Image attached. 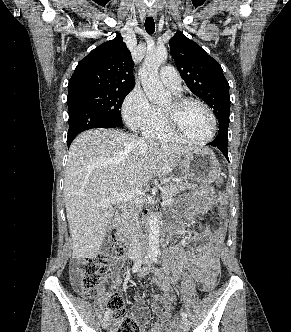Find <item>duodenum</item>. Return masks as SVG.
I'll return each mask as SVG.
<instances>
[{
	"mask_svg": "<svg viewBox=\"0 0 291 332\" xmlns=\"http://www.w3.org/2000/svg\"><path fill=\"white\" fill-rule=\"evenodd\" d=\"M118 236L120 240L125 243L126 245H131L133 243V238L125 232L122 228L118 230Z\"/></svg>",
	"mask_w": 291,
	"mask_h": 332,
	"instance_id": "1",
	"label": "duodenum"
}]
</instances>
